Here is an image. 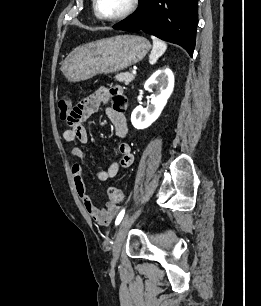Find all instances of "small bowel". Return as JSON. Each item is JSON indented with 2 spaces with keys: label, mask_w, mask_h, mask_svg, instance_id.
Returning a JSON list of instances; mask_svg holds the SVG:
<instances>
[{
  "label": "small bowel",
  "mask_w": 261,
  "mask_h": 306,
  "mask_svg": "<svg viewBox=\"0 0 261 306\" xmlns=\"http://www.w3.org/2000/svg\"><path fill=\"white\" fill-rule=\"evenodd\" d=\"M107 105L106 113L111 120L115 133L120 138H125L128 132L127 120L125 116V98L120 86L111 88L100 87L93 94L79 102L67 118L69 128L63 132V139L69 143L87 144L88 132L84 122L98 110L100 105ZM121 155L119 161L112 162L107 169L99 170L96 177L99 181H107L114 178L121 168H128L134 162V155L129 143L121 142L118 146ZM70 155L80 160L85 159V152L79 146L70 149ZM71 172L77 194L83 203L89 216L101 226L109 225L119 211V206L114 202H109L106 208H97L86 189L82 175V167L79 163H74Z\"/></svg>",
  "instance_id": "obj_1"
}]
</instances>
